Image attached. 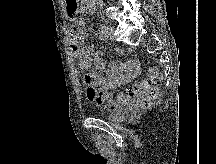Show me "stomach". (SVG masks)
Segmentation results:
<instances>
[{"label": "stomach", "instance_id": "obj_1", "mask_svg": "<svg viewBox=\"0 0 216 164\" xmlns=\"http://www.w3.org/2000/svg\"><path fill=\"white\" fill-rule=\"evenodd\" d=\"M78 3L79 0H65V16L68 17L69 20H76L77 17H80Z\"/></svg>", "mask_w": 216, "mask_h": 164}]
</instances>
